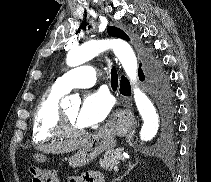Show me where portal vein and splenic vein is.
<instances>
[{
  "label": "portal vein and splenic vein",
  "instance_id": "obj_1",
  "mask_svg": "<svg viewBox=\"0 0 211 182\" xmlns=\"http://www.w3.org/2000/svg\"><path fill=\"white\" fill-rule=\"evenodd\" d=\"M114 171L118 172V167L117 166L114 167Z\"/></svg>",
  "mask_w": 211,
  "mask_h": 182
}]
</instances>
